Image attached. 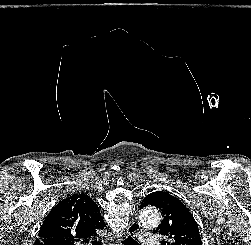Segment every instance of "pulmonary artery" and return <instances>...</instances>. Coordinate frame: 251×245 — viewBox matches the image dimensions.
I'll return each mask as SVG.
<instances>
[{"label":"pulmonary artery","mask_w":251,"mask_h":245,"mask_svg":"<svg viewBox=\"0 0 251 245\" xmlns=\"http://www.w3.org/2000/svg\"><path fill=\"white\" fill-rule=\"evenodd\" d=\"M141 242L143 245H159L157 238L149 235H141Z\"/></svg>","instance_id":"1"}]
</instances>
